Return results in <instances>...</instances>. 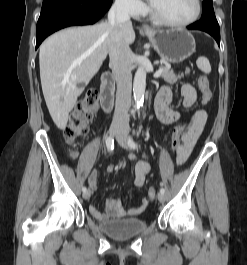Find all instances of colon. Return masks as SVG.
<instances>
[{
	"instance_id": "obj_1",
	"label": "colon",
	"mask_w": 247,
	"mask_h": 265,
	"mask_svg": "<svg viewBox=\"0 0 247 265\" xmlns=\"http://www.w3.org/2000/svg\"><path fill=\"white\" fill-rule=\"evenodd\" d=\"M198 87L201 92V103L207 104L212 99V90L207 76L201 75L198 78ZM99 102V95L96 90L89 91L83 99L79 101L71 113L67 125L64 129V137L69 144H74L79 138L85 136L89 129V122L93 118ZM185 128L184 123H180L173 128L170 147L172 153L177 157L181 146V135ZM156 188L148 190V200L156 198Z\"/></svg>"
}]
</instances>
